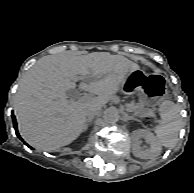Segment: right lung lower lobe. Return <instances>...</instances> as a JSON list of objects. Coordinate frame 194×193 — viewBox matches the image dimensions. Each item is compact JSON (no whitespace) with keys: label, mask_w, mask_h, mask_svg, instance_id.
<instances>
[{"label":"right lung lower lobe","mask_w":194,"mask_h":193,"mask_svg":"<svg viewBox=\"0 0 194 193\" xmlns=\"http://www.w3.org/2000/svg\"><path fill=\"white\" fill-rule=\"evenodd\" d=\"M12 118H13V125H14L15 131H16V135H17L20 139H22V138L20 137L19 133H18L17 124H16V118H15L13 112H12ZM28 147H30V146L28 145ZM30 148H31V147H30Z\"/></svg>","instance_id":"right-lung-lower-lobe-1"}]
</instances>
